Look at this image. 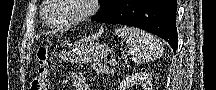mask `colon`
Segmentation results:
<instances>
[{
	"mask_svg": "<svg viewBox=\"0 0 216 90\" xmlns=\"http://www.w3.org/2000/svg\"><path fill=\"white\" fill-rule=\"evenodd\" d=\"M49 46H42L37 51L38 68L31 82V90H47L49 86Z\"/></svg>",
	"mask_w": 216,
	"mask_h": 90,
	"instance_id": "5ec220e1",
	"label": "colon"
}]
</instances>
